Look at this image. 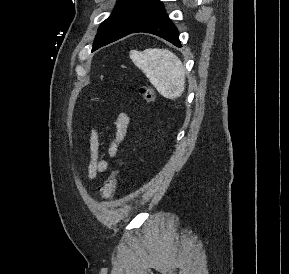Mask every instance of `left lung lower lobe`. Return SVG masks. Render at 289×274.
I'll list each match as a JSON object with an SVG mask.
<instances>
[{
  "mask_svg": "<svg viewBox=\"0 0 289 274\" xmlns=\"http://www.w3.org/2000/svg\"><path fill=\"white\" fill-rule=\"evenodd\" d=\"M137 32L151 33L164 38L175 46H182L179 40L177 28L167 16L163 6L157 9L153 14H151L145 21H143L130 33Z\"/></svg>",
  "mask_w": 289,
  "mask_h": 274,
  "instance_id": "obj_1",
  "label": "left lung lower lobe"
}]
</instances>
